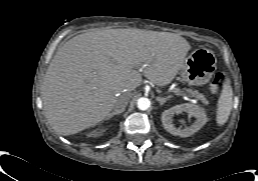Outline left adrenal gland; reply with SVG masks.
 <instances>
[{"label":"left adrenal gland","instance_id":"left-adrenal-gland-1","mask_svg":"<svg viewBox=\"0 0 258 181\" xmlns=\"http://www.w3.org/2000/svg\"><path fill=\"white\" fill-rule=\"evenodd\" d=\"M171 98V96H167L165 98L162 97H156V100L160 103V105H164V103L169 100Z\"/></svg>","mask_w":258,"mask_h":181}]
</instances>
